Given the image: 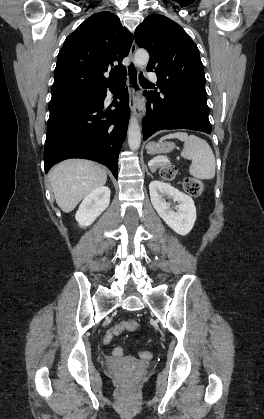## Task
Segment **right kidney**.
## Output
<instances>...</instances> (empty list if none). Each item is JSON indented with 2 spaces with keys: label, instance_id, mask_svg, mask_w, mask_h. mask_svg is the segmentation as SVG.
Listing matches in <instances>:
<instances>
[{
  "label": "right kidney",
  "instance_id": "1",
  "mask_svg": "<svg viewBox=\"0 0 264 419\" xmlns=\"http://www.w3.org/2000/svg\"><path fill=\"white\" fill-rule=\"evenodd\" d=\"M110 189L99 187L90 192L82 201L75 218L81 227L90 226L96 218L109 206Z\"/></svg>",
  "mask_w": 264,
  "mask_h": 419
}]
</instances>
